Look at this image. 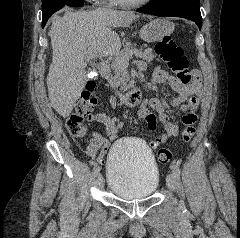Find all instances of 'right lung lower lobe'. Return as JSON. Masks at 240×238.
Returning <instances> with one entry per match:
<instances>
[{
  "instance_id": "1",
  "label": "right lung lower lobe",
  "mask_w": 240,
  "mask_h": 238,
  "mask_svg": "<svg viewBox=\"0 0 240 238\" xmlns=\"http://www.w3.org/2000/svg\"><path fill=\"white\" fill-rule=\"evenodd\" d=\"M82 5H83V0H77V1L72 2L69 6L79 7ZM45 24H46V22H42V26H45Z\"/></svg>"
}]
</instances>
